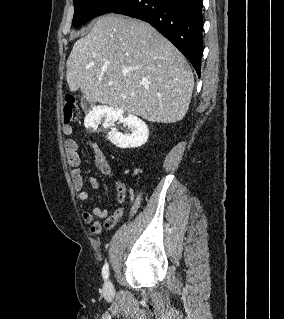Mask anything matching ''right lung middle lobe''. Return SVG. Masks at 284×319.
<instances>
[{
	"label": "right lung middle lobe",
	"instance_id": "dd1d6c3e",
	"mask_svg": "<svg viewBox=\"0 0 284 319\" xmlns=\"http://www.w3.org/2000/svg\"><path fill=\"white\" fill-rule=\"evenodd\" d=\"M128 1L129 0H73L75 12L72 24L77 28L93 17L112 12Z\"/></svg>",
	"mask_w": 284,
	"mask_h": 319
}]
</instances>
